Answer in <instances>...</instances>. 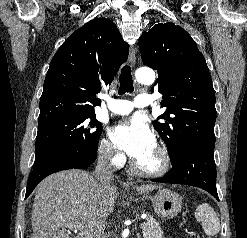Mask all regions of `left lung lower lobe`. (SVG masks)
I'll use <instances>...</instances> for the list:
<instances>
[{
  "label": "left lung lower lobe",
  "mask_w": 247,
  "mask_h": 238,
  "mask_svg": "<svg viewBox=\"0 0 247 238\" xmlns=\"http://www.w3.org/2000/svg\"><path fill=\"white\" fill-rule=\"evenodd\" d=\"M216 175L213 152L195 146H184L172 161V169L162 178L152 181L199 187L219 199Z\"/></svg>",
  "instance_id": "left-lung-lower-lobe-1"
}]
</instances>
